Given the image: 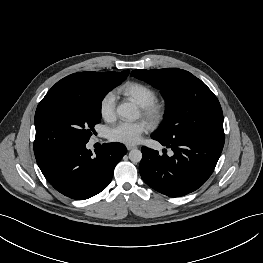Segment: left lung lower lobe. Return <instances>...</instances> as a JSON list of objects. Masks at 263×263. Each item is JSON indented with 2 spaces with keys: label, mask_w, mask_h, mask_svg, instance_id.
<instances>
[{
  "label": "left lung lower lobe",
  "mask_w": 263,
  "mask_h": 263,
  "mask_svg": "<svg viewBox=\"0 0 263 263\" xmlns=\"http://www.w3.org/2000/svg\"><path fill=\"white\" fill-rule=\"evenodd\" d=\"M152 138L172 149L173 156L142 147L139 171L144 182L156 191L170 197L189 194L210 177L221 155L225 135L176 137L164 140Z\"/></svg>",
  "instance_id": "obj_1"
}]
</instances>
